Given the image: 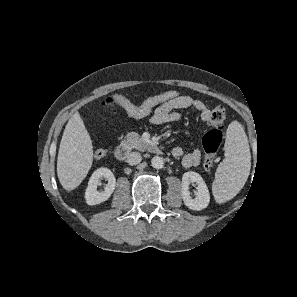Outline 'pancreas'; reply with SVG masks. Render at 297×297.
<instances>
[{
	"label": "pancreas",
	"instance_id": "pancreas-1",
	"mask_svg": "<svg viewBox=\"0 0 297 297\" xmlns=\"http://www.w3.org/2000/svg\"><path fill=\"white\" fill-rule=\"evenodd\" d=\"M121 145L129 151L134 148L140 151H144L147 148V144L142 140L139 134L135 132L127 133L124 140L121 142Z\"/></svg>",
	"mask_w": 297,
	"mask_h": 297
}]
</instances>
